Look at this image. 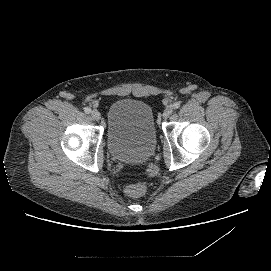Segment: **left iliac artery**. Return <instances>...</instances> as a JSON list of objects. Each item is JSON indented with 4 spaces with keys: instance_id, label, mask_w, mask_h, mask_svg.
<instances>
[{
    "instance_id": "left-iliac-artery-1",
    "label": "left iliac artery",
    "mask_w": 271,
    "mask_h": 271,
    "mask_svg": "<svg viewBox=\"0 0 271 271\" xmlns=\"http://www.w3.org/2000/svg\"><path fill=\"white\" fill-rule=\"evenodd\" d=\"M180 107V102H175L174 104H173V108L174 109H178Z\"/></svg>"
}]
</instances>
